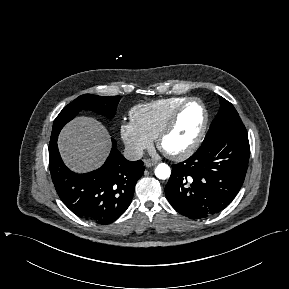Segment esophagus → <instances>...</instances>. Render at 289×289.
<instances>
[{
	"mask_svg": "<svg viewBox=\"0 0 289 289\" xmlns=\"http://www.w3.org/2000/svg\"><path fill=\"white\" fill-rule=\"evenodd\" d=\"M144 163H145V166L148 168L158 164V162L153 159H147L144 161Z\"/></svg>",
	"mask_w": 289,
	"mask_h": 289,
	"instance_id": "1",
	"label": "esophagus"
}]
</instances>
